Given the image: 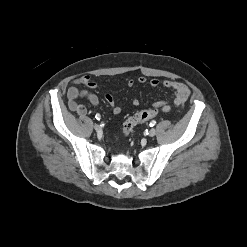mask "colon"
<instances>
[{
	"label": "colon",
	"instance_id": "colon-1",
	"mask_svg": "<svg viewBox=\"0 0 247 247\" xmlns=\"http://www.w3.org/2000/svg\"><path fill=\"white\" fill-rule=\"evenodd\" d=\"M158 111L156 109L142 110L135 113L123 125V133L125 135L129 134L133 127L139 123L146 122L154 117H156Z\"/></svg>",
	"mask_w": 247,
	"mask_h": 247
}]
</instances>
